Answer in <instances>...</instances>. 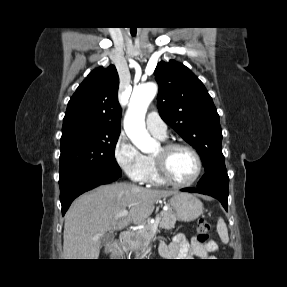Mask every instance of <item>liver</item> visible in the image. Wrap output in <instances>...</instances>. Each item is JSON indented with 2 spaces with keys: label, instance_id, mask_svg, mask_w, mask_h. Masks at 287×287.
Instances as JSON below:
<instances>
[{
  "label": "liver",
  "instance_id": "obj_1",
  "mask_svg": "<svg viewBox=\"0 0 287 287\" xmlns=\"http://www.w3.org/2000/svg\"><path fill=\"white\" fill-rule=\"evenodd\" d=\"M175 193L115 183L83 194L72 203L65 216L64 259H98L100 239L107 231L121 230L130 223H144L158 199ZM127 208L126 217L115 219Z\"/></svg>",
  "mask_w": 287,
  "mask_h": 287
}]
</instances>
